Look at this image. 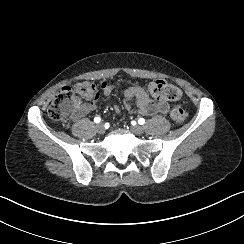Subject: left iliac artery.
<instances>
[{
    "label": "left iliac artery",
    "instance_id": "44dca946",
    "mask_svg": "<svg viewBox=\"0 0 244 244\" xmlns=\"http://www.w3.org/2000/svg\"><path fill=\"white\" fill-rule=\"evenodd\" d=\"M138 123H139L140 125H143V124L145 123V119H144V118H140V119L138 120Z\"/></svg>",
    "mask_w": 244,
    "mask_h": 244
}]
</instances>
